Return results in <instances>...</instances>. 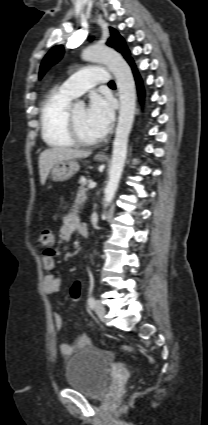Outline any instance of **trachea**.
Masks as SVG:
<instances>
[{"label": "trachea", "instance_id": "obj_1", "mask_svg": "<svg viewBox=\"0 0 208 425\" xmlns=\"http://www.w3.org/2000/svg\"><path fill=\"white\" fill-rule=\"evenodd\" d=\"M109 86H115L114 81H110V82H109Z\"/></svg>", "mask_w": 208, "mask_h": 425}]
</instances>
